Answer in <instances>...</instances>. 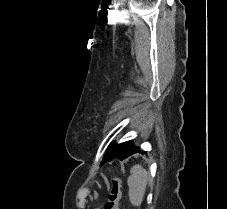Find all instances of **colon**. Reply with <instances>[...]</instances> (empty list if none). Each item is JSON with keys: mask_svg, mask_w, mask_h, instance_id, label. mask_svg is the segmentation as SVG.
Wrapping results in <instances>:
<instances>
[{"mask_svg": "<svg viewBox=\"0 0 227 209\" xmlns=\"http://www.w3.org/2000/svg\"><path fill=\"white\" fill-rule=\"evenodd\" d=\"M121 180L118 177H114L109 182V194L108 199L105 202L103 209H120L119 201L121 197Z\"/></svg>", "mask_w": 227, "mask_h": 209, "instance_id": "1", "label": "colon"}]
</instances>
